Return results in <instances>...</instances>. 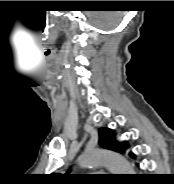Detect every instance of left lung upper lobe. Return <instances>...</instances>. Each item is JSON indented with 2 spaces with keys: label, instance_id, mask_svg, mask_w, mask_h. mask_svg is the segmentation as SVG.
I'll return each mask as SVG.
<instances>
[{
  "label": "left lung upper lobe",
  "instance_id": "left-lung-upper-lobe-1",
  "mask_svg": "<svg viewBox=\"0 0 174 184\" xmlns=\"http://www.w3.org/2000/svg\"><path fill=\"white\" fill-rule=\"evenodd\" d=\"M99 145L105 149L121 153L128 148V144L126 142H117L114 131L109 128L99 129ZM66 175L69 174L67 173Z\"/></svg>",
  "mask_w": 174,
  "mask_h": 184
}]
</instances>
